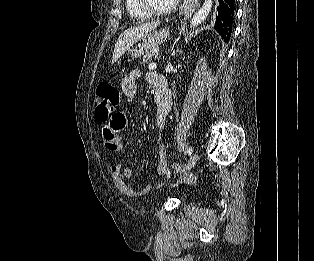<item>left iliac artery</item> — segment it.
<instances>
[{
	"label": "left iliac artery",
	"mask_w": 314,
	"mask_h": 261,
	"mask_svg": "<svg viewBox=\"0 0 314 261\" xmlns=\"http://www.w3.org/2000/svg\"><path fill=\"white\" fill-rule=\"evenodd\" d=\"M192 152H193V148H192L191 146H188V147H187V153H188V155L190 156V155L192 154Z\"/></svg>",
	"instance_id": "44dca946"
}]
</instances>
